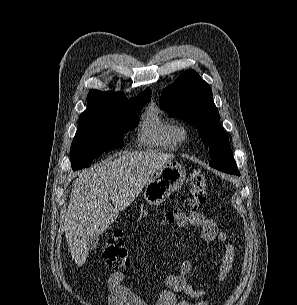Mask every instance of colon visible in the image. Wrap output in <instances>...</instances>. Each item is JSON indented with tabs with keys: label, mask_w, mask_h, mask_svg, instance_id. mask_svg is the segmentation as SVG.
Listing matches in <instances>:
<instances>
[{
	"label": "colon",
	"mask_w": 297,
	"mask_h": 305,
	"mask_svg": "<svg viewBox=\"0 0 297 305\" xmlns=\"http://www.w3.org/2000/svg\"><path fill=\"white\" fill-rule=\"evenodd\" d=\"M189 184L190 195L177 210L166 213L163 218L164 224L172 223L178 210L195 211L205 203L208 186L205 174L201 169H194L191 172ZM103 260L106 267L112 270L122 269L129 264L130 256L122 233H114L107 239L103 250Z\"/></svg>",
	"instance_id": "1"
}]
</instances>
